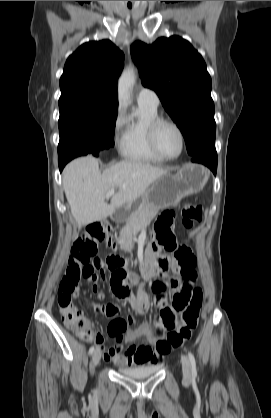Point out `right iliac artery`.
Wrapping results in <instances>:
<instances>
[{
	"label": "right iliac artery",
	"mask_w": 271,
	"mask_h": 418,
	"mask_svg": "<svg viewBox=\"0 0 271 418\" xmlns=\"http://www.w3.org/2000/svg\"><path fill=\"white\" fill-rule=\"evenodd\" d=\"M94 350H95L94 346L90 347V349H89V355H92L93 352H94Z\"/></svg>",
	"instance_id": "82829eb1"
}]
</instances>
